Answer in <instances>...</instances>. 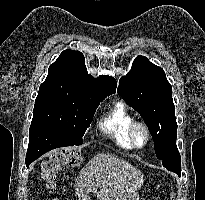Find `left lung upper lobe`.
Masks as SVG:
<instances>
[{
    "instance_id": "5c2ea615",
    "label": "left lung upper lobe",
    "mask_w": 205,
    "mask_h": 200,
    "mask_svg": "<svg viewBox=\"0 0 205 200\" xmlns=\"http://www.w3.org/2000/svg\"><path fill=\"white\" fill-rule=\"evenodd\" d=\"M117 91L148 125L157 158H174L177 123L172 86L163 69L137 56L130 72L120 79Z\"/></svg>"
}]
</instances>
